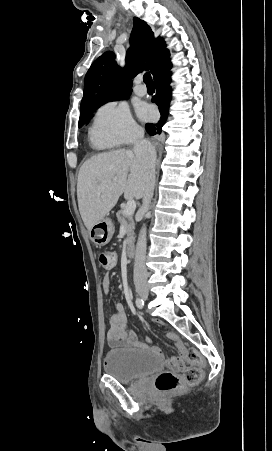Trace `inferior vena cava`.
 <instances>
[{
    "mask_svg": "<svg viewBox=\"0 0 272 451\" xmlns=\"http://www.w3.org/2000/svg\"><path fill=\"white\" fill-rule=\"evenodd\" d=\"M144 132H140L136 136L134 142V152L136 154L137 160L142 164L145 170L146 176V186L143 196V206L142 210L148 212L149 204L151 198H153L154 186H155V162H156V152L149 144V142H143ZM146 259V227H143L138 241L136 243L135 249V261L133 269V281L135 287H142V285H147V269L145 265Z\"/></svg>",
    "mask_w": 272,
    "mask_h": 451,
    "instance_id": "602c4592",
    "label": "inferior vena cava"
}]
</instances>
